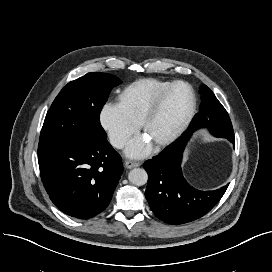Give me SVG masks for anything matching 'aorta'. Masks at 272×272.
<instances>
[{
	"label": "aorta",
	"instance_id": "aorta-1",
	"mask_svg": "<svg viewBox=\"0 0 272 272\" xmlns=\"http://www.w3.org/2000/svg\"><path fill=\"white\" fill-rule=\"evenodd\" d=\"M129 181L137 186H142L147 183V172L142 168L132 169L128 174Z\"/></svg>",
	"mask_w": 272,
	"mask_h": 272
}]
</instances>
